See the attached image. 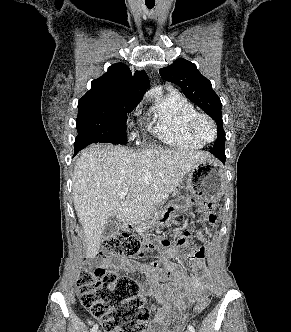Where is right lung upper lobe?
<instances>
[{
	"mask_svg": "<svg viewBox=\"0 0 291 332\" xmlns=\"http://www.w3.org/2000/svg\"><path fill=\"white\" fill-rule=\"evenodd\" d=\"M150 87L144 71H131L124 63L113 64L108 72L91 82V89L80 99L123 98L140 101Z\"/></svg>",
	"mask_w": 291,
	"mask_h": 332,
	"instance_id": "obj_1",
	"label": "right lung upper lobe"
}]
</instances>
